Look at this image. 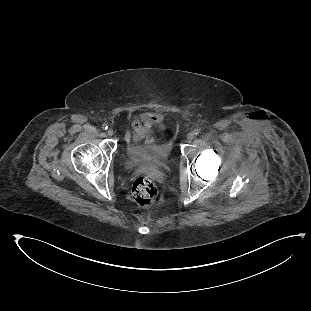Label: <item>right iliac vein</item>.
I'll list each match as a JSON object with an SVG mask.
<instances>
[{
  "mask_svg": "<svg viewBox=\"0 0 311 311\" xmlns=\"http://www.w3.org/2000/svg\"><path fill=\"white\" fill-rule=\"evenodd\" d=\"M107 134H108L109 136H112V135L114 134L113 129L109 128V129L107 130Z\"/></svg>",
  "mask_w": 311,
  "mask_h": 311,
  "instance_id": "1",
  "label": "right iliac vein"
}]
</instances>
